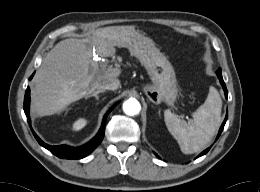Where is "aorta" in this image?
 Returning a JSON list of instances; mask_svg holds the SVG:
<instances>
[{"label":"aorta","mask_w":260,"mask_h":192,"mask_svg":"<svg viewBox=\"0 0 260 192\" xmlns=\"http://www.w3.org/2000/svg\"><path fill=\"white\" fill-rule=\"evenodd\" d=\"M141 110V105L138 100L130 98L123 103V111L126 115H137Z\"/></svg>","instance_id":"aorta-1"}]
</instances>
